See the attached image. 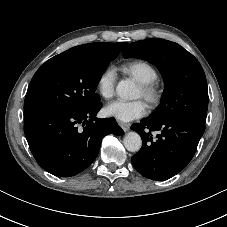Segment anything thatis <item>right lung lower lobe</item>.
Segmentation results:
<instances>
[{"label":"right lung lower lobe","mask_w":227,"mask_h":227,"mask_svg":"<svg viewBox=\"0 0 227 227\" xmlns=\"http://www.w3.org/2000/svg\"><path fill=\"white\" fill-rule=\"evenodd\" d=\"M101 103L82 109H53L24 119V133L37 163L47 172L74 176L97 157L103 137L122 135L114 118L99 119Z\"/></svg>","instance_id":"obj_1"}]
</instances>
